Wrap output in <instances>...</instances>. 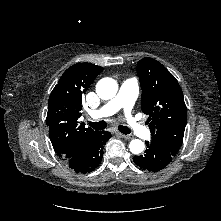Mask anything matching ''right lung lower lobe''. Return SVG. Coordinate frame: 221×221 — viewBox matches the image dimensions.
<instances>
[{"mask_svg": "<svg viewBox=\"0 0 221 221\" xmlns=\"http://www.w3.org/2000/svg\"><path fill=\"white\" fill-rule=\"evenodd\" d=\"M110 137V132H97L93 137L86 153L78 159L68 160V166L77 173H87L93 171L102 161L104 145L110 139Z\"/></svg>", "mask_w": 221, "mask_h": 221, "instance_id": "obj_1", "label": "right lung lower lobe"}]
</instances>
